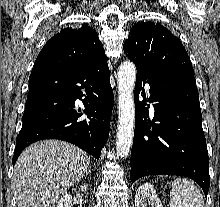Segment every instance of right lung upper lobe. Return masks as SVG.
Returning a JSON list of instances; mask_svg holds the SVG:
<instances>
[{
	"label": "right lung upper lobe",
	"mask_w": 220,
	"mask_h": 207,
	"mask_svg": "<svg viewBox=\"0 0 220 207\" xmlns=\"http://www.w3.org/2000/svg\"><path fill=\"white\" fill-rule=\"evenodd\" d=\"M102 57L106 58L95 29L87 24L77 28L67 27L47 41L32 71L43 69L73 71Z\"/></svg>",
	"instance_id": "cb5924a9"
}]
</instances>
